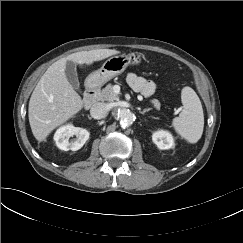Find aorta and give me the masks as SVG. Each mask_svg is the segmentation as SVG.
Instances as JSON below:
<instances>
[{
    "instance_id": "1",
    "label": "aorta",
    "mask_w": 243,
    "mask_h": 243,
    "mask_svg": "<svg viewBox=\"0 0 243 243\" xmlns=\"http://www.w3.org/2000/svg\"><path fill=\"white\" fill-rule=\"evenodd\" d=\"M116 116L119 120V123L123 127L131 125L134 121V115L132 114V112L125 108L118 109L116 111Z\"/></svg>"
}]
</instances>
